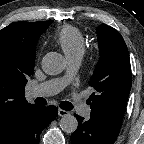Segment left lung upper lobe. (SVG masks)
I'll return each mask as SVG.
<instances>
[{
  "mask_svg": "<svg viewBox=\"0 0 144 144\" xmlns=\"http://www.w3.org/2000/svg\"><path fill=\"white\" fill-rule=\"evenodd\" d=\"M100 58L90 79L94 88L90 96L94 121L120 130L131 88L130 59L121 34L112 27H97Z\"/></svg>",
  "mask_w": 144,
  "mask_h": 144,
  "instance_id": "obj_1",
  "label": "left lung upper lobe"
}]
</instances>
